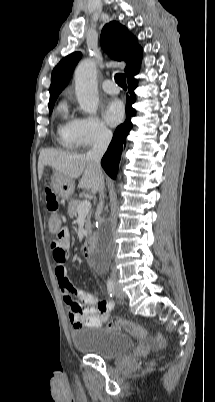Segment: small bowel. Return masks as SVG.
Segmentation results:
<instances>
[{"mask_svg":"<svg viewBox=\"0 0 215 402\" xmlns=\"http://www.w3.org/2000/svg\"><path fill=\"white\" fill-rule=\"evenodd\" d=\"M69 248V232L62 229L57 238L51 242V249L55 275L68 309V318L75 328L101 327L110 320L114 303L111 300H99L97 294L73 286L65 268V263L70 258Z\"/></svg>","mask_w":215,"mask_h":402,"instance_id":"1","label":"small bowel"}]
</instances>
